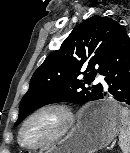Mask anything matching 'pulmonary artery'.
I'll return each instance as SVG.
<instances>
[{"label": "pulmonary artery", "mask_w": 130, "mask_h": 153, "mask_svg": "<svg viewBox=\"0 0 130 153\" xmlns=\"http://www.w3.org/2000/svg\"><path fill=\"white\" fill-rule=\"evenodd\" d=\"M96 82H100V83H102L103 85H105V82H104V80H103V77L100 76V75H97V76H96Z\"/></svg>", "instance_id": "pulmonary-artery-1"}]
</instances>
